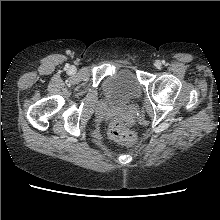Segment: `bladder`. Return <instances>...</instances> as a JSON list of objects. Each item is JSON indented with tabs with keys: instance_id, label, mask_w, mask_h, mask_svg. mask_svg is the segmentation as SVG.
<instances>
[{
	"instance_id": "1",
	"label": "bladder",
	"mask_w": 220,
	"mask_h": 220,
	"mask_svg": "<svg viewBox=\"0 0 220 220\" xmlns=\"http://www.w3.org/2000/svg\"><path fill=\"white\" fill-rule=\"evenodd\" d=\"M106 96L118 107H123L141 95V85L129 70H119L103 85Z\"/></svg>"
}]
</instances>
